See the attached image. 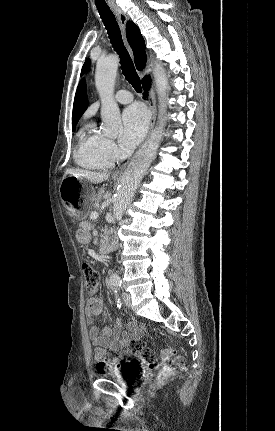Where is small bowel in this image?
Returning <instances> with one entry per match:
<instances>
[{
    "mask_svg": "<svg viewBox=\"0 0 275 431\" xmlns=\"http://www.w3.org/2000/svg\"><path fill=\"white\" fill-rule=\"evenodd\" d=\"M77 240L80 243H88L90 235L88 225H81L77 232ZM104 311V301L100 297L90 298L86 305V321L89 326V336L96 352L106 350H122L124 354H131L127 350L128 343L135 339L139 340L142 330L134 323L128 325V332H122V323L117 320L113 327H105L101 330L94 324V319Z\"/></svg>",
    "mask_w": 275,
    "mask_h": 431,
    "instance_id": "c3829d8e",
    "label": "small bowel"
}]
</instances>
